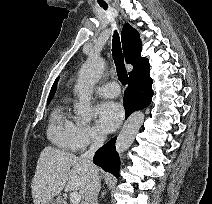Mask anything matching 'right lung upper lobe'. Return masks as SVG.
I'll return each mask as SVG.
<instances>
[{
	"label": "right lung upper lobe",
	"mask_w": 212,
	"mask_h": 204,
	"mask_svg": "<svg viewBox=\"0 0 212 204\" xmlns=\"http://www.w3.org/2000/svg\"><path fill=\"white\" fill-rule=\"evenodd\" d=\"M122 47L125 56L126 63L133 65V70L129 73V78L135 76L140 71L149 68V60L141 57V40L137 30L132 28L128 23L123 27L121 33ZM58 78L55 80L49 95L48 101H50L56 91Z\"/></svg>",
	"instance_id": "obj_1"
}]
</instances>
